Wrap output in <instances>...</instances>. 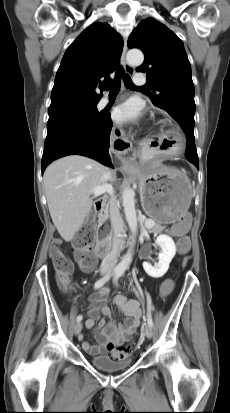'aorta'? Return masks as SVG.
Instances as JSON below:
<instances>
[{
	"mask_svg": "<svg viewBox=\"0 0 230 413\" xmlns=\"http://www.w3.org/2000/svg\"><path fill=\"white\" fill-rule=\"evenodd\" d=\"M126 59L130 65L139 66L143 63L144 55L140 50L132 49L128 51ZM122 200V205L130 231L134 236H136L138 230V221L135 209V192L129 186L123 189ZM132 256L133 248H130L122 261L119 263L118 267L122 270H125L132 261Z\"/></svg>",
	"mask_w": 230,
	"mask_h": 413,
	"instance_id": "aorta-1",
	"label": "aorta"
}]
</instances>
